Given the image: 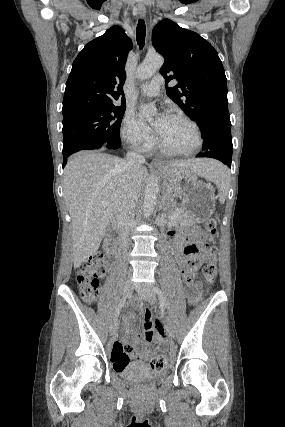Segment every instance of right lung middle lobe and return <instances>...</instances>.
Masks as SVG:
<instances>
[{"label":"right lung middle lobe","instance_id":"1","mask_svg":"<svg viewBox=\"0 0 285 427\" xmlns=\"http://www.w3.org/2000/svg\"><path fill=\"white\" fill-rule=\"evenodd\" d=\"M126 105L76 113L63 118V159L86 150L120 147V125Z\"/></svg>","mask_w":285,"mask_h":427}]
</instances>
